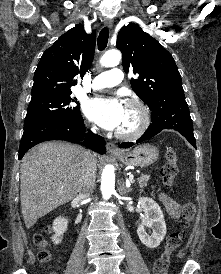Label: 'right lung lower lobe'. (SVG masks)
Segmentation results:
<instances>
[{
	"label": "right lung lower lobe",
	"mask_w": 221,
	"mask_h": 274,
	"mask_svg": "<svg viewBox=\"0 0 221 274\" xmlns=\"http://www.w3.org/2000/svg\"><path fill=\"white\" fill-rule=\"evenodd\" d=\"M49 140H65L72 143L83 142L100 154L106 153L105 140L90 130L86 131L83 120L70 121L63 118H50L24 125V132L19 147V159L33 146Z\"/></svg>",
	"instance_id": "98d812e1"
}]
</instances>
